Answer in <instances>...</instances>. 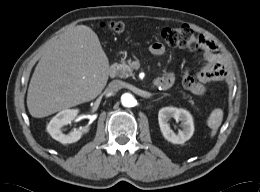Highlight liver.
I'll return each mask as SVG.
<instances>
[{
  "instance_id": "obj_1",
  "label": "liver",
  "mask_w": 260,
  "mask_h": 192,
  "mask_svg": "<svg viewBox=\"0 0 260 192\" xmlns=\"http://www.w3.org/2000/svg\"><path fill=\"white\" fill-rule=\"evenodd\" d=\"M109 61L97 34L78 25L55 40L30 80L27 107L42 118L95 99L108 80Z\"/></svg>"
}]
</instances>
